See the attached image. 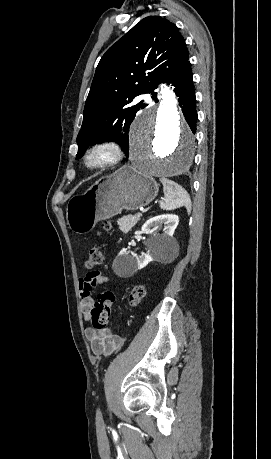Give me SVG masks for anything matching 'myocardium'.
Segmentation results:
<instances>
[{
  "mask_svg": "<svg viewBox=\"0 0 271 459\" xmlns=\"http://www.w3.org/2000/svg\"><path fill=\"white\" fill-rule=\"evenodd\" d=\"M98 151H105L106 155L100 160H94V155ZM123 155V146L117 138L102 136L86 146L81 155L80 162L86 171L95 172L118 164L122 160Z\"/></svg>",
  "mask_w": 271,
  "mask_h": 459,
  "instance_id": "1",
  "label": "myocardium"
}]
</instances>
